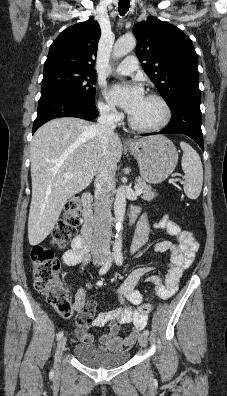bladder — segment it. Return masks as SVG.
<instances>
[{
	"mask_svg": "<svg viewBox=\"0 0 227 396\" xmlns=\"http://www.w3.org/2000/svg\"><path fill=\"white\" fill-rule=\"evenodd\" d=\"M73 352L81 363L93 369L117 368L130 359L127 351H110L97 344H77Z\"/></svg>",
	"mask_w": 227,
	"mask_h": 396,
	"instance_id": "1",
	"label": "bladder"
}]
</instances>
